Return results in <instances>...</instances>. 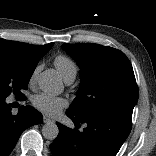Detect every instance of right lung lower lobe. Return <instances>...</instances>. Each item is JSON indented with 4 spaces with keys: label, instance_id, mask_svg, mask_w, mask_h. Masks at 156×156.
<instances>
[{
    "label": "right lung lower lobe",
    "instance_id": "1",
    "mask_svg": "<svg viewBox=\"0 0 156 156\" xmlns=\"http://www.w3.org/2000/svg\"><path fill=\"white\" fill-rule=\"evenodd\" d=\"M0 95V156H8L20 135L28 127L43 122L40 112L30 106H21L16 116L11 114V104Z\"/></svg>",
    "mask_w": 156,
    "mask_h": 156
}]
</instances>
